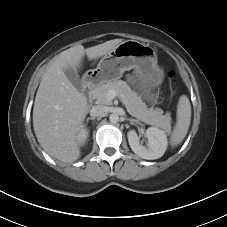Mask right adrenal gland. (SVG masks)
Returning a JSON list of instances; mask_svg holds the SVG:
<instances>
[{"instance_id":"right-adrenal-gland-1","label":"right adrenal gland","mask_w":227,"mask_h":227,"mask_svg":"<svg viewBox=\"0 0 227 227\" xmlns=\"http://www.w3.org/2000/svg\"><path fill=\"white\" fill-rule=\"evenodd\" d=\"M89 120H94V118L93 117L87 118L86 121L88 122Z\"/></svg>"}]
</instances>
